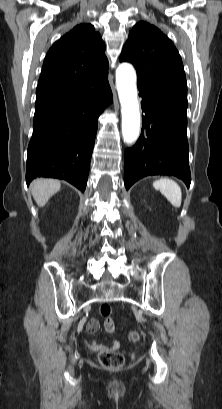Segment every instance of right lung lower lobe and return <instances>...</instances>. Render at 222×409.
Instances as JSON below:
<instances>
[{
	"label": "right lung lower lobe",
	"mask_w": 222,
	"mask_h": 409,
	"mask_svg": "<svg viewBox=\"0 0 222 409\" xmlns=\"http://www.w3.org/2000/svg\"><path fill=\"white\" fill-rule=\"evenodd\" d=\"M107 76L91 79L80 95L35 106L27 154V184L36 177H52L65 179L84 192L97 119L112 102Z\"/></svg>",
	"instance_id": "obj_1"
}]
</instances>
